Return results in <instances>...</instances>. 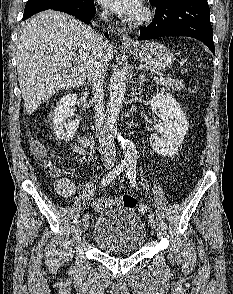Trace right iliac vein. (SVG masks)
I'll use <instances>...</instances> for the list:
<instances>
[{"mask_svg": "<svg viewBox=\"0 0 233 294\" xmlns=\"http://www.w3.org/2000/svg\"><path fill=\"white\" fill-rule=\"evenodd\" d=\"M89 224H90L89 220L84 219L83 225H82L83 231H86L89 228Z\"/></svg>", "mask_w": 233, "mask_h": 294, "instance_id": "right-iliac-vein-1", "label": "right iliac vein"}]
</instances>
